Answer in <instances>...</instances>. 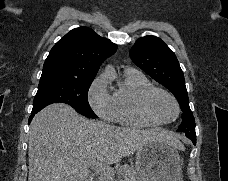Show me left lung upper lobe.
<instances>
[{
  "label": "left lung upper lobe",
  "instance_id": "left-lung-upper-lobe-1",
  "mask_svg": "<svg viewBox=\"0 0 228 181\" xmlns=\"http://www.w3.org/2000/svg\"><path fill=\"white\" fill-rule=\"evenodd\" d=\"M130 57L139 68L164 85L178 100L183 114L177 131H195V119L189 107L184 74L174 52L160 38L145 36L135 42L130 50Z\"/></svg>",
  "mask_w": 228,
  "mask_h": 181
}]
</instances>
